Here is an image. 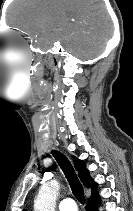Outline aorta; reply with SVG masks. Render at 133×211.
Wrapping results in <instances>:
<instances>
[{"instance_id":"aorta-1","label":"aorta","mask_w":133,"mask_h":211,"mask_svg":"<svg viewBox=\"0 0 133 211\" xmlns=\"http://www.w3.org/2000/svg\"><path fill=\"white\" fill-rule=\"evenodd\" d=\"M59 189L60 185L55 180L43 184L34 201V210L55 211L56 198L59 194Z\"/></svg>"}]
</instances>
